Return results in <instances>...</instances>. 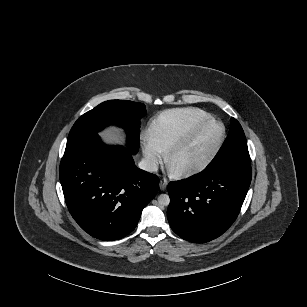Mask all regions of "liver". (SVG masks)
<instances>
[{
	"mask_svg": "<svg viewBox=\"0 0 307 307\" xmlns=\"http://www.w3.org/2000/svg\"><path fill=\"white\" fill-rule=\"evenodd\" d=\"M100 136L107 143H123V136L121 135V130L115 127H110L105 131L100 133Z\"/></svg>",
	"mask_w": 307,
	"mask_h": 307,
	"instance_id": "6515ba94",
	"label": "liver"
}]
</instances>
